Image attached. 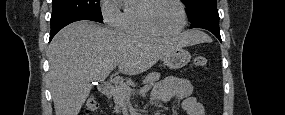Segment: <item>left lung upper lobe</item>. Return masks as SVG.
<instances>
[{"mask_svg":"<svg viewBox=\"0 0 285 115\" xmlns=\"http://www.w3.org/2000/svg\"><path fill=\"white\" fill-rule=\"evenodd\" d=\"M186 6V13L190 21L202 12L217 9L216 0H181Z\"/></svg>","mask_w":285,"mask_h":115,"instance_id":"left-lung-upper-lobe-1","label":"left lung upper lobe"}]
</instances>
